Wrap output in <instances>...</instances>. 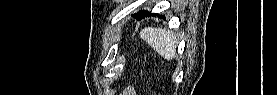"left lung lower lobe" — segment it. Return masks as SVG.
Instances as JSON below:
<instances>
[{
    "instance_id": "obj_1",
    "label": "left lung lower lobe",
    "mask_w": 277,
    "mask_h": 95,
    "mask_svg": "<svg viewBox=\"0 0 277 95\" xmlns=\"http://www.w3.org/2000/svg\"><path fill=\"white\" fill-rule=\"evenodd\" d=\"M155 15L152 13H148L147 11H140L135 16L138 17V19H142L145 15Z\"/></svg>"
}]
</instances>
